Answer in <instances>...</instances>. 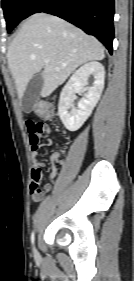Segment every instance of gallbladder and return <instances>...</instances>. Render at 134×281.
<instances>
[{
    "instance_id": "obj_1",
    "label": "gallbladder",
    "mask_w": 134,
    "mask_h": 281,
    "mask_svg": "<svg viewBox=\"0 0 134 281\" xmlns=\"http://www.w3.org/2000/svg\"><path fill=\"white\" fill-rule=\"evenodd\" d=\"M43 84L44 80L41 73H37L31 78L21 99V107L24 112L29 113L33 110L34 104L40 96Z\"/></svg>"
}]
</instances>
